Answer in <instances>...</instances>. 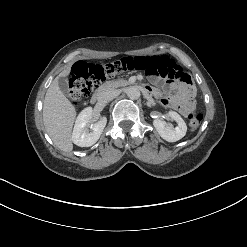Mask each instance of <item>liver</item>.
<instances>
[{
	"label": "liver",
	"instance_id": "6515ba94",
	"mask_svg": "<svg viewBox=\"0 0 247 247\" xmlns=\"http://www.w3.org/2000/svg\"><path fill=\"white\" fill-rule=\"evenodd\" d=\"M71 67L64 69L48 88L43 104V122L54 144L64 152L73 150L71 132L76 110L58 86V79L66 77Z\"/></svg>",
	"mask_w": 247,
	"mask_h": 247
}]
</instances>
